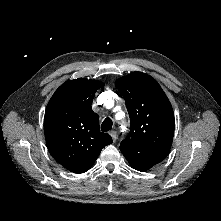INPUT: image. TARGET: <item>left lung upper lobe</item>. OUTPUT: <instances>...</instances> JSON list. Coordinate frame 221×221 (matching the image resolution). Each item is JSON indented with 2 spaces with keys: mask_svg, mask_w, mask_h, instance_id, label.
Instances as JSON below:
<instances>
[{
  "mask_svg": "<svg viewBox=\"0 0 221 221\" xmlns=\"http://www.w3.org/2000/svg\"><path fill=\"white\" fill-rule=\"evenodd\" d=\"M124 97L131 130L120 150L131 167L147 171L169 153L175 119L160 85L149 75L135 71L115 82Z\"/></svg>",
  "mask_w": 221,
  "mask_h": 221,
  "instance_id": "5c2ea615",
  "label": "left lung upper lobe"
}]
</instances>
